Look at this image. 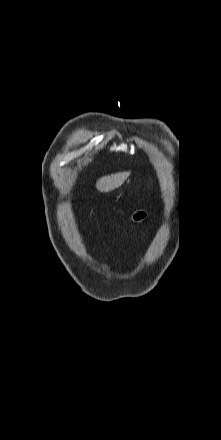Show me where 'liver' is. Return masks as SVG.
Segmentation results:
<instances>
[{
  "mask_svg": "<svg viewBox=\"0 0 221 440\" xmlns=\"http://www.w3.org/2000/svg\"><path fill=\"white\" fill-rule=\"evenodd\" d=\"M130 172H120L100 178L96 183V188L101 192H109L120 187L129 177Z\"/></svg>",
  "mask_w": 221,
  "mask_h": 440,
  "instance_id": "obj_1",
  "label": "liver"
}]
</instances>
